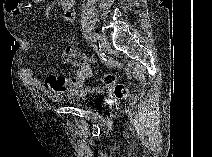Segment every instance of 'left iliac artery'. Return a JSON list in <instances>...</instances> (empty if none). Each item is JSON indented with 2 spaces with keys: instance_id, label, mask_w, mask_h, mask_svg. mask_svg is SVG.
<instances>
[{
  "instance_id": "left-iliac-artery-1",
  "label": "left iliac artery",
  "mask_w": 212,
  "mask_h": 157,
  "mask_svg": "<svg viewBox=\"0 0 212 157\" xmlns=\"http://www.w3.org/2000/svg\"><path fill=\"white\" fill-rule=\"evenodd\" d=\"M89 39L91 41H93V42H95L97 40L96 37H95V35H94V33H92V34L89 35Z\"/></svg>"
}]
</instances>
